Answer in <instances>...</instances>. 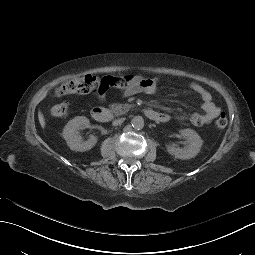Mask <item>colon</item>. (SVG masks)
I'll list each match as a JSON object with an SVG mask.
<instances>
[{
    "mask_svg": "<svg viewBox=\"0 0 255 255\" xmlns=\"http://www.w3.org/2000/svg\"><path fill=\"white\" fill-rule=\"evenodd\" d=\"M134 81L129 75L104 76L97 77L87 75L83 78L73 79L64 82L55 90V96L62 97L73 93H92L97 91H106L109 88L126 89ZM69 113V105L65 102L55 104L51 107V114L54 117H65ZM228 119L224 113H221L214 122L217 129H224L227 126Z\"/></svg>",
    "mask_w": 255,
    "mask_h": 255,
    "instance_id": "obj_1",
    "label": "colon"
}]
</instances>
